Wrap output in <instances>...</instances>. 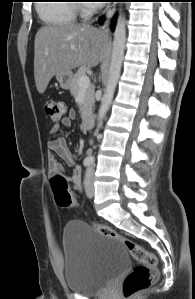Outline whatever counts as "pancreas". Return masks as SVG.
Returning <instances> with one entry per match:
<instances>
[{
    "instance_id": "obj_1",
    "label": "pancreas",
    "mask_w": 195,
    "mask_h": 299,
    "mask_svg": "<svg viewBox=\"0 0 195 299\" xmlns=\"http://www.w3.org/2000/svg\"><path fill=\"white\" fill-rule=\"evenodd\" d=\"M86 67H80L78 69V71L74 74L73 76V80H72V84L70 87V93L71 95H73L74 97H77L79 91H80V87L78 84V81L80 79L81 76L86 75ZM94 86L89 85L84 92V101L82 103V106L80 108V112H81V116L84 117L92 108V106L94 105Z\"/></svg>"
}]
</instances>
